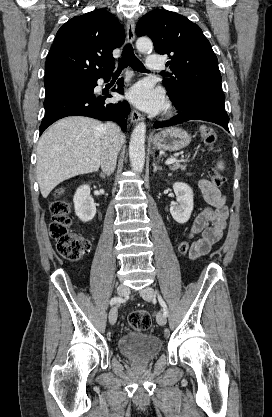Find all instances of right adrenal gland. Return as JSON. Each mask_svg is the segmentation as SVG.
<instances>
[{
	"label": "right adrenal gland",
	"instance_id": "2a0ac1e0",
	"mask_svg": "<svg viewBox=\"0 0 272 417\" xmlns=\"http://www.w3.org/2000/svg\"><path fill=\"white\" fill-rule=\"evenodd\" d=\"M100 177H101V178H105V177H106V175H105V174H103V173H100Z\"/></svg>",
	"mask_w": 272,
	"mask_h": 417
}]
</instances>
